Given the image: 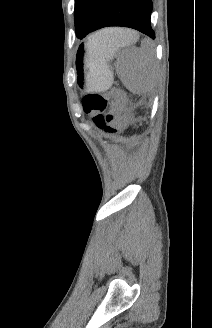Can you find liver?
I'll use <instances>...</instances> for the list:
<instances>
[{
  "mask_svg": "<svg viewBox=\"0 0 212 328\" xmlns=\"http://www.w3.org/2000/svg\"><path fill=\"white\" fill-rule=\"evenodd\" d=\"M109 36L114 44L123 45L129 44L138 38L136 32L121 28L109 29Z\"/></svg>",
  "mask_w": 212,
  "mask_h": 328,
  "instance_id": "6515ba94",
  "label": "liver"
}]
</instances>
